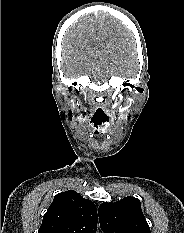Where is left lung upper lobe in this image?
I'll list each match as a JSON object with an SVG mask.
<instances>
[{"label": "left lung upper lobe", "mask_w": 184, "mask_h": 233, "mask_svg": "<svg viewBox=\"0 0 184 233\" xmlns=\"http://www.w3.org/2000/svg\"><path fill=\"white\" fill-rule=\"evenodd\" d=\"M98 213L104 233H151L137 198L125 197L114 203H102Z\"/></svg>", "instance_id": "1"}]
</instances>
